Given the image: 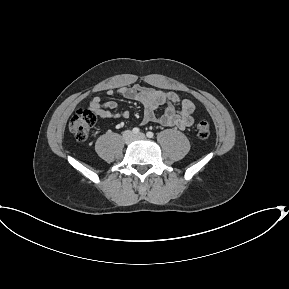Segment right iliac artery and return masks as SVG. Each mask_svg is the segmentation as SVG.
<instances>
[{"label": "right iliac artery", "instance_id": "obj_1", "mask_svg": "<svg viewBox=\"0 0 289 289\" xmlns=\"http://www.w3.org/2000/svg\"><path fill=\"white\" fill-rule=\"evenodd\" d=\"M132 132H133L134 134H139V133H140V129L137 128V127H135V128H133Z\"/></svg>", "mask_w": 289, "mask_h": 289}]
</instances>
